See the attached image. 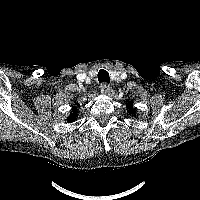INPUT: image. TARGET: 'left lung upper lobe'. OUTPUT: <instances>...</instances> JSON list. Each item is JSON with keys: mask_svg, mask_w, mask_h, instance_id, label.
Masks as SVG:
<instances>
[{"mask_svg": "<svg viewBox=\"0 0 200 200\" xmlns=\"http://www.w3.org/2000/svg\"><path fill=\"white\" fill-rule=\"evenodd\" d=\"M127 108L129 109L128 111L130 114H132V115L135 114L136 111H135V108H133L132 102L128 103Z\"/></svg>", "mask_w": 200, "mask_h": 200, "instance_id": "obj_1", "label": "left lung upper lobe"}]
</instances>
